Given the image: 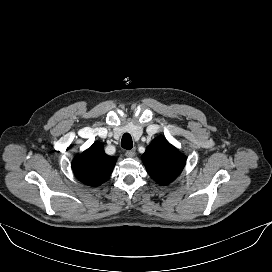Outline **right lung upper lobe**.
<instances>
[{
    "instance_id": "right-lung-upper-lobe-1",
    "label": "right lung upper lobe",
    "mask_w": 272,
    "mask_h": 272,
    "mask_svg": "<svg viewBox=\"0 0 272 272\" xmlns=\"http://www.w3.org/2000/svg\"><path fill=\"white\" fill-rule=\"evenodd\" d=\"M115 163L116 159L108 156L103 145L96 142L82 154L74 157L72 169L81 182L99 186L109 179Z\"/></svg>"
}]
</instances>
